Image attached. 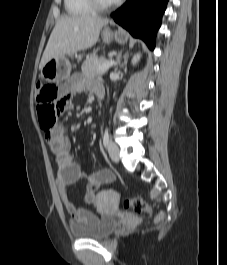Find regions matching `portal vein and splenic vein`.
Returning a JSON list of instances; mask_svg holds the SVG:
<instances>
[{"mask_svg":"<svg viewBox=\"0 0 227 265\" xmlns=\"http://www.w3.org/2000/svg\"><path fill=\"white\" fill-rule=\"evenodd\" d=\"M114 64V61L113 60H110L102 65H100L98 67V70L99 71H105V70H108L112 65Z\"/></svg>","mask_w":227,"mask_h":265,"instance_id":"portal-vein-and-splenic-vein-1","label":"portal vein and splenic vein"}]
</instances>
